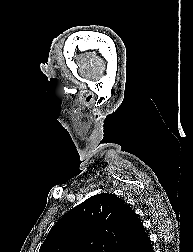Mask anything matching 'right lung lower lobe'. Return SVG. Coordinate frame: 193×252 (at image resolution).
<instances>
[{
    "mask_svg": "<svg viewBox=\"0 0 193 252\" xmlns=\"http://www.w3.org/2000/svg\"><path fill=\"white\" fill-rule=\"evenodd\" d=\"M129 252H154L150 239L146 232L141 234L137 243L129 250Z\"/></svg>",
    "mask_w": 193,
    "mask_h": 252,
    "instance_id": "98d812e1",
    "label": "right lung lower lobe"
}]
</instances>
